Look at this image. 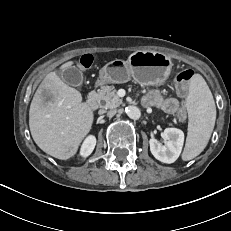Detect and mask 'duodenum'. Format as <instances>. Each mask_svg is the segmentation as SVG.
I'll return each instance as SVG.
<instances>
[{"label": "duodenum", "mask_w": 231, "mask_h": 231, "mask_svg": "<svg viewBox=\"0 0 231 231\" xmlns=\"http://www.w3.org/2000/svg\"><path fill=\"white\" fill-rule=\"evenodd\" d=\"M86 105L90 110H95L97 108V96L94 91H91L86 99Z\"/></svg>", "instance_id": "410a0bca"}]
</instances>
